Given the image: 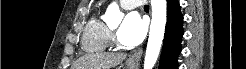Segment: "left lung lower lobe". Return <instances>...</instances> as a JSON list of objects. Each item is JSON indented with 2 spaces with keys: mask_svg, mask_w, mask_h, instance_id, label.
Here are the masks:
<instances>
[{
  "mask_svg": "<svg viewBox=\"0 0 246 69\" xmlns=\"http://www.w3.org/2000/svg\"><path fill=\"white\" fill-rule=\"evenodd\" d=\"M183 34V15L179 2L167 0V23L159 69H177Z\"/></svg>",
  "mask_w": 246,
  "mask_h": 69,
  "instance_id": "left-lung-lower-lobe-1",
  "label": "left lung lower lobe"
}]
</instances>
